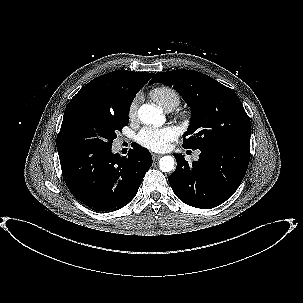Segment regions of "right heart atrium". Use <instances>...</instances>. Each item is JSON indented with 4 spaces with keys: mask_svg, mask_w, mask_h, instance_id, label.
<instances>
[{
    "mask_svg": "<svg viewBox=\"0 0 303 303\" xmlns=\"http://www.w3.org/2000/svg\"><path fill=\"white\" fill-rule=\"evenodd\" d=\"M139 105V97H135L128 107V117L129 119L133 120L137 116V110Z\"/></svg>",
    "mask_w": 303,
    "mask_h": 303,
    "instance_id": "right-heart-atrium-1",
    "label": "right heart atrium"
}]
</instances>
